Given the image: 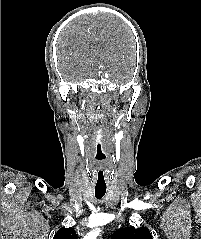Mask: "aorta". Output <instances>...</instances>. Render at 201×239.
Instances as JSON below:
<instances>
[{"label":"aorta","mask_w":201,"mask_h":239,"mask_svg":"<svg viewBox=\"0 0 201 239\" xmlns=\"http://www.w3.org/2000/svg\"><path fill=\"white\" fill-rule=\"evenodd\" d=\"M99 233V229L93 230L92 232L88 233L83 239H96Z\"/></svg>","instance_id":"762f6f07"}]
</instances>
